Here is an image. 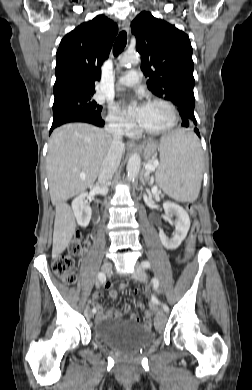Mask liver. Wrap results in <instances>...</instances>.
Here are the masks:
<instances>
[{
    "mask_svg": "<svg viewBox=\"0 0 252 390\" xmlns=\"http://www.w3.org/2000/svg\"><path fill=\"white\" fill-rule=\"evenodd\" d=\"M111 142L105 130L85 123L66 124L53 131L46 157L49 193L56 207L53 258L68 247L76 229L66 201L93 186Z\"/></svg>",
    "mask_w": 252,
    "mask_h": 390,
    "instance_id": "liver-1",
    "label": "liver"
}]
</instances>
